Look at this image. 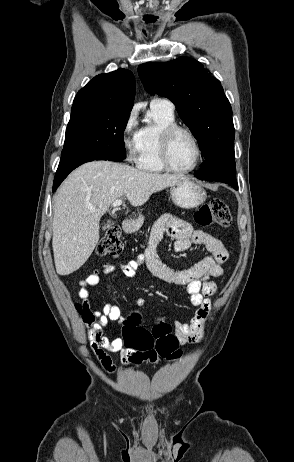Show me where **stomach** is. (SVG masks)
Returning a JSON list of instances; mask_svg holds the SVG:
<instances>
[{
	"mask_svg": "<svg viewBox=\"0 0 294 462\" xmlns=\"http://www.w3.org/2000/svg\"><path fill=\"white\" fill-rule=\"evenodd\" d=\"M171 197L177 206L190 209L201 205L206 200L207 194L200 185L186 177L172 185ZM143 221L144 217L139 215L135 221V226L140 227Z\"/></svg>",
	"mask_w": 294,
	"mask_h": 462,
	"instance_id": "1",
	"label": "stomach"
}]
</instances>
